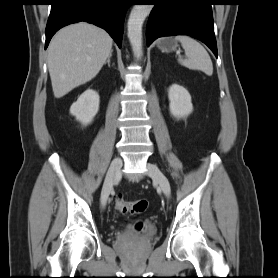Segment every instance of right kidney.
I'll return each instance as SVG.
<instances>
[{"label": "right kidney", "mask_w": 278, "mask_h": 278, "mask_svg": "<svg viewBox=\"0 0 278 278\" xmlns=\"http://www.w3.org/2000/svg\"><path fill=\"white\" fill-rule=\"evenodd\" d=\"M99 110V95L93 89L84 91L70 107L71 115L83 125L90 124Z\"/></svg>", "instance_id": "right-kidney-1"}]
</instances>
